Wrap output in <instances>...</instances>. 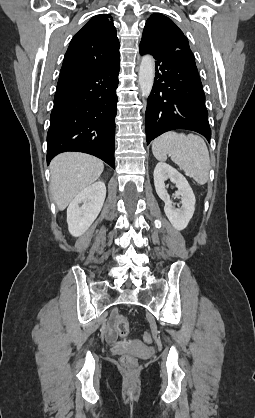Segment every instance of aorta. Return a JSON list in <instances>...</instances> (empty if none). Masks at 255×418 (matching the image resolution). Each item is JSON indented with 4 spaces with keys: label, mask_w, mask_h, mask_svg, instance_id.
<instances>
[{
    "label": "aorta",
    "mask_w": 255,
    "mask_h": 418,
    "mask_svg": "<svg viewBox=\"0 0 255 418\" xmlns=\"http://www.w3.org/2000/svg\"><path fill=\"white\" fill-rule=\"evenodd\" d=\"M155 76L154 59L150 55H145L141 59L139 67L138 83L143 97H148L151 93Z\"/></svg>",
    "instance_id": "aorta-1"
}]
</instances>
